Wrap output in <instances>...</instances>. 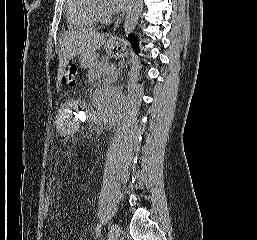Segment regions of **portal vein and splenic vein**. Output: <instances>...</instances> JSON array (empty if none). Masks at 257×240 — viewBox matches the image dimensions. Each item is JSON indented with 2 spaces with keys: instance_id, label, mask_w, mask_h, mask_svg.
I'll return each mask as SVG.
<instances>
[{
  "instance_id": "1",
  "label": "portal vein and splenic vein",
  "mask_w": 257,
  "mask_h": 240,
  "mask_svg": "<svg viewBox=\"0 0 257 240\" xmlns=\"http://www.w3.org/2000/svg\"><path fill=\"white\" fill-rule=\"evenodd\" d=\"M115 70V66L114 65H111L110 67H109V72H113Z\"/></svg>"
}]
</instances>
